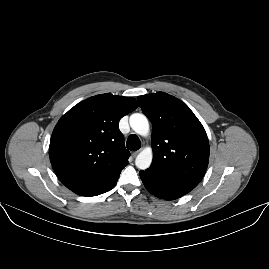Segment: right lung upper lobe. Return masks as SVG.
I'll use <instances>...</instances> for the list:
<instances>
[{
	"label": "right lung upper lobe",
	"instance_id": "cb5924a9",
	"mask_svg": "<svg viewBox=\"0 0 269 269\" xmlns=\"http://www.w3.org/2000/svg\"><path fill=\"white\" fill-rule=\"evenodd\" d=\"M133 97L101 94L71 108L56 124L49 156L60 181L70 190L98 185L128 164L119 120L134 111Z\"/></svg>",
	"mask_w": 269,
	"mask_h": 269
}]
</instances>
